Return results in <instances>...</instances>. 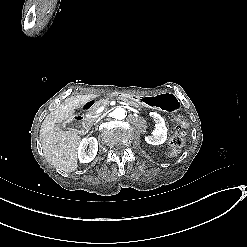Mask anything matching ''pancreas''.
I'll use <instances>...</instances> for the list:
<instances>
[{
  "mask_svg": "<svg viewBox=\"0 0 247 247\" xmlns=\"http://www.w3.org/2000/svg\"><path fill=\"white\" fill-rule=\"evenodd\" d=\"M107 101H109V98H105L103 101H101L100 103L95 104L94 106H92L89 110H88V116L92 119H96L97 115L94 113V110H97L100 105L105 104Z\"/></svg>",
  "mask_w": 247,
  "mask_h": 247,
  "instance_id": "pancreas-1",
  "label": "pancreas"
}]
</instances>
